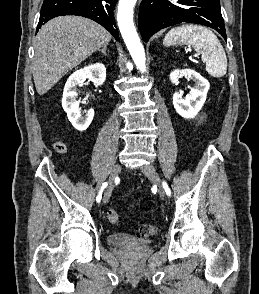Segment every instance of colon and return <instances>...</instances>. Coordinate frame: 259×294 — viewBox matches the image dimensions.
Here are the masks:
<instances>
[{
    "instance_id": "5ec220e1",
    "label": "colon",
    "mask_w": 259,
    "mask_h": 294,
    "mask_svg": "<svg viewBox=\"0 0 259 294\" xmlns=\"http://www.w3.org/2000/svg\"><path fill=\"white\" fill-rule=\"evenodd\" d=\"M55 147L59 152H64L66 149L65 145L61 142H57L55 144ZM107 218H108L109 222L114 225L120 224L119 215L112 208L108 209ZM156 231H157V229L154 225L148 224V223H142L138 226V228L136 230V235L139 237H150V236L154 235L156 233Z\"/></svg>"
}]
</instances>
